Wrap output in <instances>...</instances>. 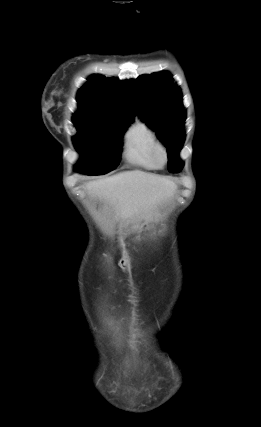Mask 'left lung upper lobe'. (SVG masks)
Returning a JSON list of instances; mask_svg holds the SVG:
<instances>
[{
    "label": "left lung upper lobe",
    "mask_w": 261,
    "mask_h": 427,
    "mask_svg": "<svg viewBox=\"0 0 261 427\" xmlns=\"http://www.w3.org/2000/svg\"><path fill=\"white\" fill-rule=\"evenodd\" d=\"M129 85L136 99L139 116L151 127L168 151V169L172 173L182 170L179 158L185 133V109L180 88L168 72L141 75L130 80Z\"/></svg>",
    "instance_id": "obj_1"
}]
</instances>
